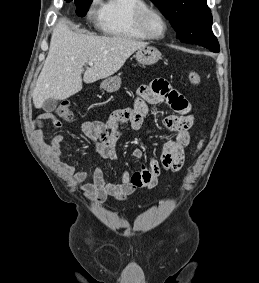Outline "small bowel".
I'll list each match as a JSON object with an SVG mask.
<instances>
[{
  "label": "small bowel",
  "mask_w": 259,
  "mask_h": 283,
  "mask_svg": "<svg viewBox=\"0 0 259 283\" xmlns=\"http://www.w3.org/2000/svg\"><path fill=\"white\" fill-rule=\"evenodd\" d=\"M168 104L176 113L163 120L165 128L174 134L163 147L160 160H151L148 166L140 164L137 171L124 173L120 183L105 180L101 170L94 173L92 183H84L89 174L65 162L61 151L64 141L62 134L54 135L45 144L47 151L56 164L71 178L74 183L81 184L80 189L91 200L103 202L107 197L126 200L138 189H153L158 183L162 169L172 173L178 172L184 164V150L190 142L189 130L193 125L194 116L190 103L167 81L155 80L148 86H141L137 90V98L133 107L114 111L105 121H84L81 123L82 133L94 144V151L106 161L117 160L116 144L121 136V126L129 124L137 130L148 114L149 104ZM50 121L54 126L61 125L60 120L51 112L40 113L33 120L34 136L40 143H44L43 126ZM136 159L143 157V151L135 148L132 152Z\"/></svg>",
  "instance_id": "1"
}]
</instances>
